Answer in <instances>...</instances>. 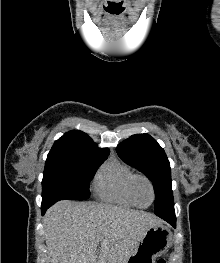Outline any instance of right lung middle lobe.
Wrapping results in <instances>:
<instances>
[{"mask_svg":"<svg viewBox=\"0 0 220 263\" xmlns=\"http://www.w3.org/2000/svg\"><path fill=\"white\" fill-rule=\"evenodd\" d=\"M107 157L87 152L50 151L42 180V204L88 199L90 180Z\"/></svg>","mask_w":220,"mask_h":263,"instance_id":"right-lung-middle-lobe-1","label":"right lung middle lobe"}]
</instances>
